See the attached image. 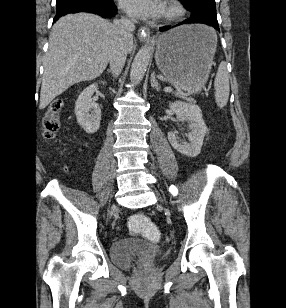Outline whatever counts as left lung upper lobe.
<instances>
[{"instance_id":"1","label":"left lung upper lobe","mask_w":286,"mask_h":308,"mask_svg":"<svg viewBox=\"0 0 286 308\" xmlns=\"http://www.w3.org/2000/svg\"><path fill=\"white\" fill-rule=\"evenodd\" d=\"M182 2L183 6L187 9L190 10L195 6H199V5H204V6H208V5H215V0H179Z\"/></svg>"}]
</instances>
